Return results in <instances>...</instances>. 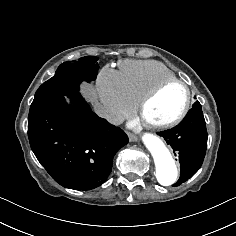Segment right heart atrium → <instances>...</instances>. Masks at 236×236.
<instances>
[{"label": "right heart atrium", "instance_id": "1", "mask_svg": "<svg viewBox=\"0 0 236 236\" xmlns=\"http://www.w3.org/2000/svg\"><path fill=\"white\" fill-rule=\"evenodd\" d=\"M95 89L100 116L111 124L129 115L135 107V102L126 90L123 76L109 66H104L98 72Z\"/></svg>", "mask_w": 236, "mask_h": 236}]
</instances>
